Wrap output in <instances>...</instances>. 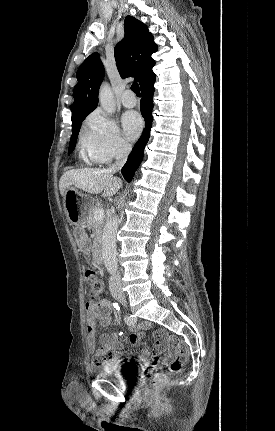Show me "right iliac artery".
<instances>
[{
  "instance_id": "obj_1",
  "label": "right iliac artery",
  "mask_w": 275,
  "mask_h": 431,
  "mask_svg": "<svg viewBox=\"0 0 275 431\" xmlns=\"http://www.w3.org/2000/svg\"><path fill=\"white\" fill-rule=\"evenodd\" d=\"M125 322L129 326H134L136 324V318L133 315H128L125 317Z\"/></svg>"
}]
</instances>
